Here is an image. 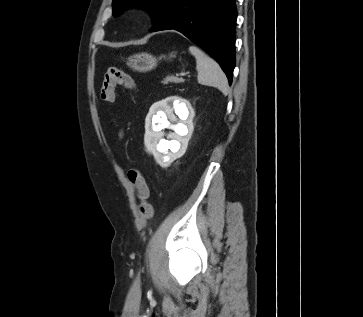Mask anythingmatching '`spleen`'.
<instances>
[{
	"label": "spleen",
	"mask_w": 363,
	"mask_h": 317,
	"mask_svg": "<svg viewBox=\"0 0 363 317\" xmlns=\"http://www.w3.org/2000/svg\"><path fill=\"white\" fill-rule=\"evenodd\" d=\"M189 51L196 58L198 83L217 87L224 95H227L229 93L228 80L220 65L196 46H190Z\"/></svg>",
	"instance_id": "3e777b00"
}]
</instances>
